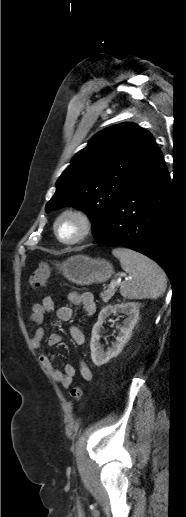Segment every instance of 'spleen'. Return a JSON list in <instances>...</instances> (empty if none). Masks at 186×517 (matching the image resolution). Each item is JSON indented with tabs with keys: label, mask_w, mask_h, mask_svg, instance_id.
I'll return each mask as SVG.
<instances>
[{
	"label": "spleen",
	"mask_w": 186,
	"mask_h": 517,
	"mask_svg": "<svg viewBox=\"0 0 186 517\" xmlns=\"http://www.w3.org/2000/svg\"><path fill=\"white\" fill-rule=\"evenodd\" d=\"M112 254L129 276L122 282L120 293L127 299H157L165 292L164 271L152 260L127 248H115Z\"/></svg>",
	"instance_id": "spleen-1"
}]
</instances>
